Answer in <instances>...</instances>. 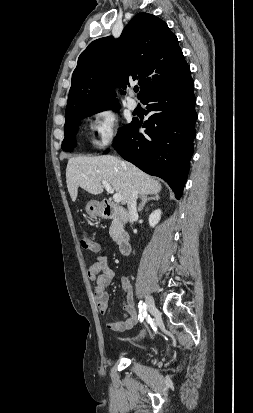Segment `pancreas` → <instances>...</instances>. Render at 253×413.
<instances>
[{"mask_svg":"<svg viewBox=\"0 0 253 413\" xmlns=\"http://www.w3.org/2000/svg\"><path fill=\"white\" fill-rule=\"evenodd\" d=\"M123 231V226L120 220L114 219L109 229V234L113 240L118 238V235Z\"/></svg>","mask_w":253,"mask_h":413,"instance_id":"pancreas-1","label":"pancreas"}]
</instances>
